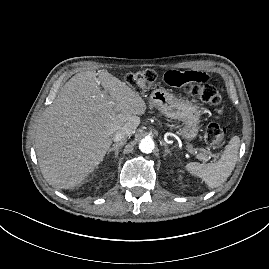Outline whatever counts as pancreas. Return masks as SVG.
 <instances>
[{
    "label": "pancreas",
    "mask_w": 269,
    "mask_h": 269,
    "mask_svg": "<svg viewBox=\"0 0 269 269\" xmlns=\"http://www.w3.org/2000/svg\"><path fill=\"white\" fill-rule=\"evenodd\" d=\"M189 149L193 150V148L190 147V146H189ZM197 158H198L199 160H202V161H206V160H208V157H207V155H206V152L197 154Z\"/></svg>",
    "instance_id": "1"
}]
</instances>
